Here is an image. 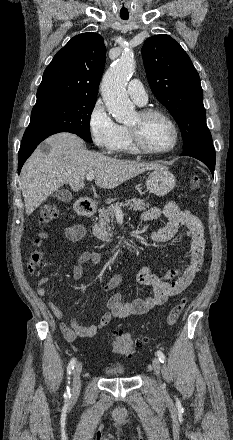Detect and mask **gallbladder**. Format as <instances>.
<instances>
[{
  "mask_svg": "<svg viewBox=\"0 0 233 440\" xmlns=\"http://www.w3.org/2000/svg\"><path fill=\"white\" fill-rule=\"evenodd\" d=\"M54 197L62 202H70L73 199L72 194L67 190L55 191Z\"/></svg>",
  "mask_w": 233,
  "mask_h": 440,
  "instance_id": "gallbladder-1",
  "label": "gallbladder"
}]
</instances>
